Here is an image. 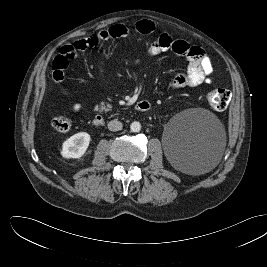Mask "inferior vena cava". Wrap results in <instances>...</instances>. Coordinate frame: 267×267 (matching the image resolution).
I'll return each instance as SVG.
<instances>
[{
	"label": "inferior vena cava",
	"mask_w": 267,
	"mask_h": 267,
	"mask_svg": "<svg viewBox=\"0 0 267 267\" xmlns=\"http://www.w3.org/2000/svg\"><path fill=\"white\" fill-rule=\"evenodd\" d=\"M108 129L110 131H119L122 129V123L117 119H114L108 123Z\"/></svg>",
	"instance_id": "1"
}]
</instances>
